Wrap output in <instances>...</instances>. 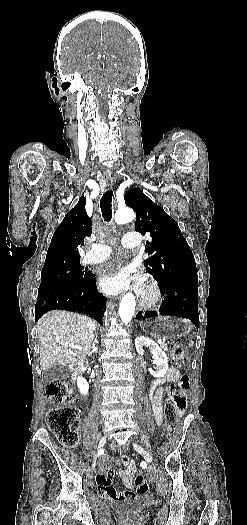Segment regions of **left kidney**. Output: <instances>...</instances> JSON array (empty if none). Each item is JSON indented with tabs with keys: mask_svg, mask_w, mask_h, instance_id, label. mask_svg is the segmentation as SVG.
Wrapping results in <instances>:
<instances>
[{
	"mask_svg": "<svg viewBox=\"0 0 247 525\" xmlns=\"http://www.w3.org/2000/svg\"><path fill=\"white\" fill-rule=\"evenodd\" d=\"M135 347L138 355H143V347H149L150 353H152L154 357L153 363L156 365L154 369H150V373L153 377H164V375H166V371H168V357L165 355L164 351L158 347L155 341L148 339V337H136Z\"/></svg>",
	"mask_w": 247,
	"mask_h": 525,
	"instance_id": "1",
	"label": "left kidney"
}]
</instances>
